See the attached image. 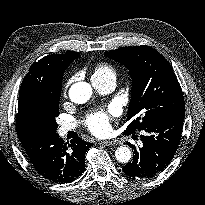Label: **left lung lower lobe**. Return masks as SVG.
<instances>
[{
  "label": "left lung lower lobe",
  "instance_id": "obj_1",
  "mask_svg": "<svg viewBox=\"0 0 205 205\" xmlns=\"http://www.w3.org/2000/svg\"><path fill=\"white\" fill-rule=\"evenodd\" d=\"M183 121L184 114H176L146 127L141 136L143 146L137 149L130 145L134 157L123 172L132 178L148 179L168 166L179 145Z\"/></svg>",
  "mask_w": 205,
  "mask_h": 205
}]
</instances>
